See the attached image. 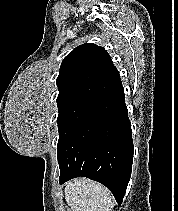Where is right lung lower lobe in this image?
Segmentation results:
<instances>
[{
    "mask_svg": "<svg viewBox=\"0 0 178 211\" xmlns=\"http://www.w3.org/2000/svg\"><path fill=\"white\" fill-rule=\"evenodd\" d=\"M57 149L60 184L85 176L105 185L121 204L134 153L123 88L96 102Z\"/></svg>",
    "mask_w": 178,
    "mask_h": 211,
    "instance_id": "right-lung-lower-lobe-1",
    "label": "right lung lower lobe"
}]
</instances>
